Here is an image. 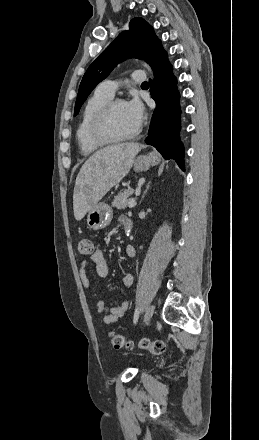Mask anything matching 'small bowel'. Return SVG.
<instances>
[{
	"instance_id": "obj_1",
	"label": "small bowel",
	"mask_w": 259,
	"mask_h": 440,
	"mask_svg": "<svg viewBox=\"0 0 259 440\" xmlns=\"http://www.w3.org/2000/svg\"><path fill=\"white\" fill-rule=\"evenodd\" d=\"M126 216H121L119 218V222L124 226L125 222L128 220ZM125 255L127 258H134L136 256V250L132 245H127L125 248ZM90 260L95 268L96 274L101 277L105 278L109 274V266L108 263L104 257V254L102 250L96 249L90 257ZM87 266L88 261L84 260L81 263L80 269H79V275L81 279L82 286L85 290L89 291V296L91 299L95 300V307L94 310L97 313L103 314V322L105 324H111L116 321H118L119 318L123 317L127 310L129 309V301L125 300L122 303L118 305H114L110 308L105 306V303L98 299L97 294L94 291L90 290V280L87 274ZM133 284V276L131 274H126L122 278V285L124 288L128 289Z\"/></svg>"
}]
</instances>
